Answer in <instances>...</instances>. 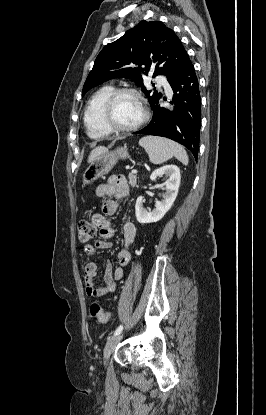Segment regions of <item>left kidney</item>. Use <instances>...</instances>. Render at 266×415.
I'll use <instances>...</instances> for the list:
<instances>
[{
	"label": "left kidney",
	"mask_w": 266,
	"mask_h": 415,
	"mask_svg": "<svg viewBox=\"0 0 266 415\" xmlns=\"http://www.w3.org/2000/svg\"><path fill=\"white\" fill-rule=\"evenodd\" d=\"M166 175L168 177L165 185V194L162 201L155 202V208L152 211H148L144 208V199L139 196L135 205V213L137 221L141 224L153 223L161 220L164 215L172 207L178 193L180 186V169L176 165H165L159 169H156L150 176L152 181H155L158 177Z\"/></svg>",
	"instance_id": "obj_1"
}]
</instances>
